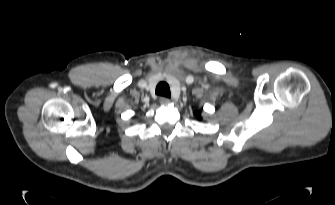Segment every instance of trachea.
Returning a JSON list of instances; mask_svg holds the SVG:
<instances>
[{
  "instance_id": "3493384b",
  "label": "trachea",
  "mask_w": 335,
  "mask_h": 205,
  "mask_svg": "<svg viewBox=\"0 0 335 205\" xmlns=\"http://www.w3.org/2000/svg\"><path fill=\"white\" fill-rule=\"evenodd\" d=\"M155 93L160 96H164L170 98V88L166 82H160L157 87Z\"/></svg>"
}]
</instances>
